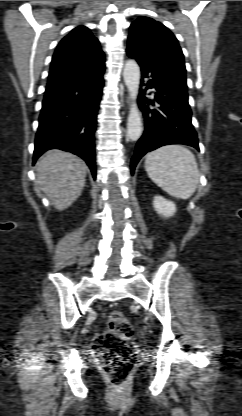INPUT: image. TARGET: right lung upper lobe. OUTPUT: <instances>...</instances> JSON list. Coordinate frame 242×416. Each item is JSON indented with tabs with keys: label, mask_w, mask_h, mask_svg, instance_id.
<instances>
[{
	"label": "right lung upper lobe",
	"mask_w": 242,
	"mask_h": 416,
	"mask_svg": "<svg viewBox=\"0 0 242 416\" xmlns=\"http://www.w3.org/2000/svg\"><path fill=\"white\" fill-rule=\"evenodd\" d=\"M105 57L99 41L84 26L73 29L57 46L47 87L78 81L105 69Z\"/></svg>",
	"instance_id": "right-lung-upper-lobe-1"
}]
</instances>
